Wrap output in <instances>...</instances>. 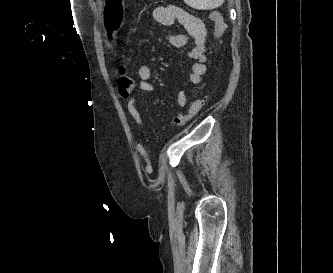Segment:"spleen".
I'll list each match as a JSON object with an SVG mask.
<instances>
[{"label":"spleen","instance_id":"3e777b00","mask_svg":"<svg viewBox=\"0 0 333 273\" xmlns=\"http://www.w3.org/2000/svg\"><path fill=\"white\" fill-rule=\"evenodd\" d=\"M225 0H184L186 4L198 10H212L223 4Z\"/></svg>","mask_w":333,"mask_h":273}]
</instances>
